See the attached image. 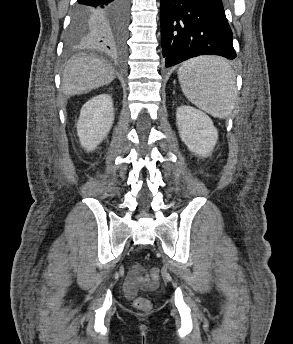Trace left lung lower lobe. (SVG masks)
I'll return each instance as SVG.
<instances>
[{
    "label": "left lung lower lobe",
    "instance_id": "0a47b994",
    "mask_svg": "<svg viewBox=\"0 0 293 344\" xmlns=\"http://www.w3.org/2000/svg\"><path fill=\"white\" fill-rule=\"evenodd\" d=\"M166 67L199 55L236 58L222 0H161Z\"/></svg>",
    "mask_w": 293,
    "mask_h": 344
}]
</instances>
